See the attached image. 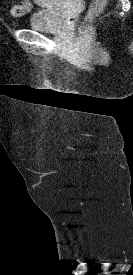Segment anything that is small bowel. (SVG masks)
<instances>
[{"mask_svg":"<svg viewBox=\"0 0 133 275\" xmlns=\"http://www.w3.org/2000/svg\"><path fill=\"white\" fill-rule=\"evenodd\" d=\"M28 3L30 4V2L28 1ZM30 8H31V4H30Z\"/></svg>","mask_w":133,"mask_h":275,"instance_id":"c3829d8e","label":"small bowel"}]
</instances>
